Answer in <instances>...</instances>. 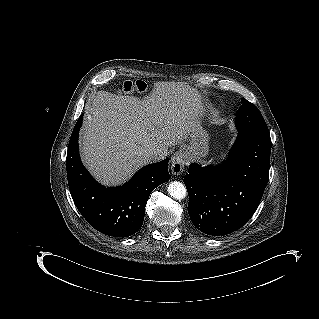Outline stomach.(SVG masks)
<instances>
[{
  "label": "stomach",
  "mask_w": 319,
  "mask_h": 319,
  "mask_svg": "<svg viewBox=\"0 0 319 319\" xmlns=\"http://www.w3.org/2000/svg\"><path fill=\"white\" fill-rule=\"evenodd\" d=\"M209 135L201 126L190 134L189 143L183 150L187 161H195L208 155Z\"/></svg>",
  "instance_id": "1"
}]
</instances>
